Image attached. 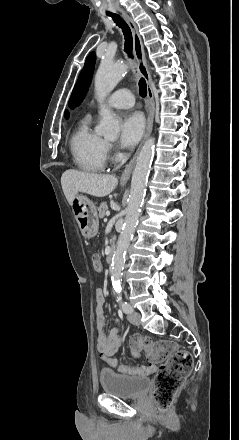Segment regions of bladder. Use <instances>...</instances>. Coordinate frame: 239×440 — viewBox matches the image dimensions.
Listing matches in <instances>:
<instances>
[{"label":"bladder","mask_w":239,"mask_h":440,"mask_svg":"<svg viewBox=\"0 0 239 440\" xmlns=\"http://www.w3.org/2000/svg\"><path fill=\"white\" fill-rule=\"evenodd\" d=\"M99 381L106 394L120 398H140L151 386V381L147 377L122 375L106 369L100 371Z\"/></svg>","instance_id":"1"}]
</instances>
